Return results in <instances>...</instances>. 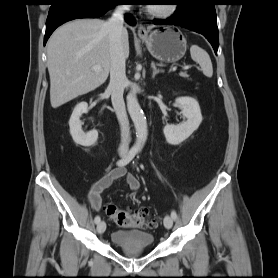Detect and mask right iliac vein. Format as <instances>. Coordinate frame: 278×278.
Segmentation results:
<instances>
[{"mask_svg":"<svg viewBox=\"0 0 278 278\" xmlns=\"http://www.w3.org/2000/svg\"><path fill=\"white\" fill-rule=\"evenodd\" d=\"M105 229H106L105 222H103V221L99 222L98 225H97V232L99 234H102V233H104Z\"/></svg>","mask_w":278,"mask_h":278,"instance_id":"right-iliac-vein-1","label":"right iliac vein"}]
</instances>
